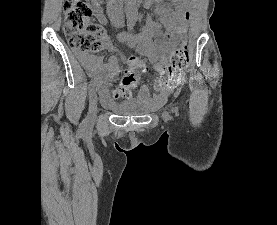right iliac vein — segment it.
<instances>
[{"label": "right iliac vein", "mask_w": 277, "mask_h": 225, "mask_svg": "<svg viewBox=\"0 0 277 225\" xmlns=\"http://www.w3.org/2000/svg\"><path fill=\"white\" fill-rule=\"evenodd\" d=\"M97 95L96 93H92L90 95V101H89V116L91 118H95L96 114H97Z\"/></svg>", "instance_id": "obj_1"}]
</instances>
